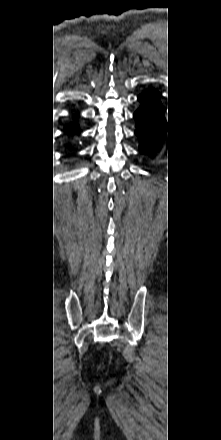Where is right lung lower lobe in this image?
Wrapping results in <instances>:
<instances>
[{
    "label": "right lung lower lobe",
    "mask_w": 221,
    "mask_h": 440,
    "mask_svg": "<svg viewBox=\"0 0 221 440\" xmlns=\"http://www.w3.org/2000/svg\"><path fill=\"white\" fill-rule=\"evenodd\" d=\"M71 128H72V129H71V130H72V133H75L76 130H77V126H76L75 124H73Z\"/></svg>",
    "instance_id": "1"
}]
</instances>
